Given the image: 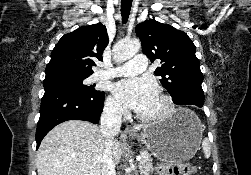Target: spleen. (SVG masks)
<instances>
[{
  "instance_id": "3e777b00",
  "label": "spleen",
  "mask_w": 251,
  "mask_h": 175,
  "mask_svg": "<svg viewBox=\"0 0 251 175\" xmlns=\"http://www.w3.org/2000/svg\"><path fill=\"white\" fill-rule=\"evenodd\" d=\"M202 147H203V151L205 153V157H210L211 149H210V141H209L208 137H204V139L202 141Z\"/></svg>"
}]
</instances>
